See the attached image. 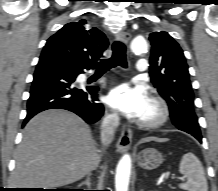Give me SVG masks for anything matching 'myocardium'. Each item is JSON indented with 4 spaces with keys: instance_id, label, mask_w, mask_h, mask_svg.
Returning a JSON list of instances; mask_svg holds the SVG:
<instances>
[{
    "instance_id": "1",
    "label": "myocardium",
    "mask_w": 218,
    "mask_h": 191,
    "mask_svg": "<svg viewBox=\"0 0 218 191\" xmlns=\"http://www.w3.org/2000/svg\"><path fill=\"white\" fill-rule=\"evenodd\" d=\"M154 109L151 117L146 119H138L137 125L144 129H154L164 125L170 116L168 104L164 99L158 96H152L149 100Z\"/></svg>"
}]
</instances>
